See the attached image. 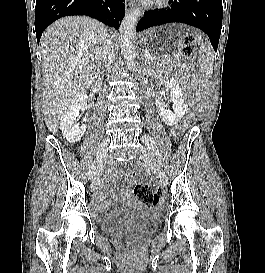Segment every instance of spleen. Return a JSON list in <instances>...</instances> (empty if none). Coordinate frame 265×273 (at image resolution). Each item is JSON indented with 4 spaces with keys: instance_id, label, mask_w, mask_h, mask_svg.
Returning a JSON list of instances; mask_svg holds the SVG:
<instances>
[{
    "instance_id": "obj_1",
    "label": "spleen",
    "mask_w": 265,
    "mask_h": 273,
    "mask_svg": "<svg viewBox=\"0 0 265 273\" xmlns=\"http://www.w3.org/2000/svg\"><path fill=\"white\" fill-rule=\"evenodd\" d=\"M195 39L200 44L199 50V65L201 66L202 72L206 77H210L212 75V65H213V52L208 43H203L201 37L196 35Z\"/></svg>"
}]
</instances>
